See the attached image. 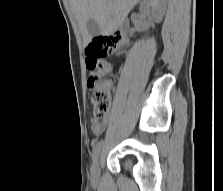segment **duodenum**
<instances>
[{
  "label": "duodenum",
  "instance_id": "duodenum-1",
  "mask_svg": "<svg viewBox=\"0 0 223 191\" xmlns=\"http://www.w3.org/2000/svg\"><path fill=\"white\" fill-rule=\"evenodd\" d=\"M122 31H123V32H127V31H128V28H127L126 24L123 25V27H122Z\"/></svg>",
  "mask_w": 223,
  "mask_h": 191
}]
</instances>
